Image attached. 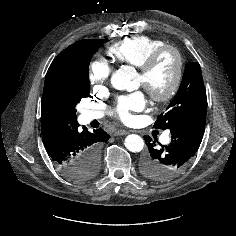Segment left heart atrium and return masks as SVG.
Wrapping results in <instances>:
<instances>
[{
  "mask_svg": "<svg viewBox=\"0 0 236 236\" xmlns=\"http://www.w3.org/2000/svg\"><path fill=\"white\" fill-rule=\"evenodd\" d=\"M145 106V95L141 92H135L118 99L115 113L121 120L129 121L132 117V112L140 111Z\"/></svg>",
  "mask_w": 236,
  "mask_h": 236,
  "instance_id": "39dd6f15",
  "label": "left heart atrium"
}]
</instances>
